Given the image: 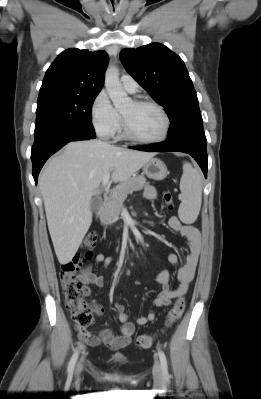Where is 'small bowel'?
Segmentation results:
<instances>
[{"mask_svg":"<svg viewBox=\"0 0 261 399\" xmlns=\"http://www.w3.org/2000/svg\"><path fill=\"white\" fill-rule=\"evenodd\" d=\"M156 190L152 186H147L143 190V197L146 200H154L156 198ZM169 227L179 232L185 237L188 247V254L186 256L184 264L177 271V279L179 286L177 289H172L169 286L170 273L167 270L161 271L157 277V282L162 286V290L153 301L155 307L161 308L170 305L173 298L183 295L187 292L189 284L192 282L196 267L198 264L200 252H201V235L199 230L190 224H184L180 221L177 216H171L168 220ZM168 261L171 265H177L179 262L178 255L172 253L168 257ZM113 262L111 256H107L103 253H98L95 256V263L102 264L107 268ZM78 280L82 285V293L84 296H89L92 293V286L102 287L104 283L103 275L93 272L90 265L86 266L81 270L78 275ZM93 309L97 314H102L103 309L98 305H92ZM114 310L117 314V318L121 323L120 333L114 334L108 329H103L98 334H91L88 331V338L79 336L90 346H99L101 344L108 346L112 350H119L126 347L134 333L135 325L129 315L126 313L125 306L116 302L114 304ZM155 319V313L149 312L145 316L138 317L136 323L144 325Z\"/></svg>","mask_w":261,"mask_h":399,"instance_id":"obj_1","label":"small bowel"}]
</instances>
